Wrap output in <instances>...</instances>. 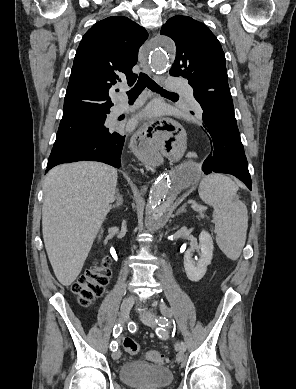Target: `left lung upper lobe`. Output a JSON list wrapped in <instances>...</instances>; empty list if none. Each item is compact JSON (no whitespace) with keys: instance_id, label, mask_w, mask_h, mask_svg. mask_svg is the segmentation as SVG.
Wrapping results in <instances>:
<instances>
[{"instance_id":"left-lung-upper-lobe-1","label":"left lung upper lobe","mask_w":296,"mask_h":389,"mask_svg":"<svg viewBox=\"0 0 296 389\" xmlns=\"http://www.w3.org/2000/svg\"><path fill=\"white\" fill-rule=\"evenodd\" d=\"M160 34L169 36L176 44V58L170 74L187 78L199 103L203 93L229 89L225 54L205 24L176 15L162 26Z\"/></svg>"}]
</instances>
